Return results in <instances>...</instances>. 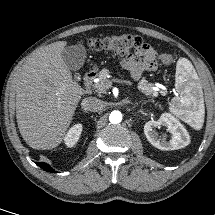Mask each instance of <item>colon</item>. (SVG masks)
Masks as SVG:
<instances>
[{"instance_id":"5ec220e1","label":"colon","mask_w":215,"mask_h":215,"mask_svg":"<svg viewBox=\"0 0 215 215\" xmlns=\"http://www.w3.org/2000/svg\"><path fill=\"white\" fill-rule=\"evenodd\" d=\"M89 45L98 51L128 55L132 51L142 48L144 42L138 35L123 34L105 38H93L89 40ZM160 59L165 66H168L174 62L175 54L172 52L163 53Z\"/></svg>"}]
</instances>
